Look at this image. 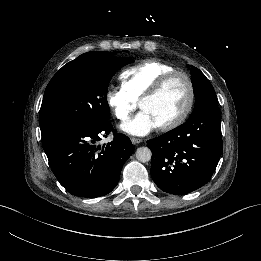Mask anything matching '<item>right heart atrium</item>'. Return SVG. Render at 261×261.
<instances>
[{
	"label": "right heart atrium",
	"instance_id": "obj_1",
	"mask_svg": "<svg viewBox=\"0 0 261 261\" xmlns=\"http://www.w3.org/2000/svg\"><path fill=\"white\" fill-rule=\"evenodd\" d=\"M105 99L108 107L121 122H127L138 107V102L129 97L121 88L109 90Z\"/></svg>",
	"mask_w": 261,
	"mask_h": 261
}]
</instances>
